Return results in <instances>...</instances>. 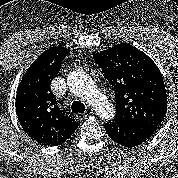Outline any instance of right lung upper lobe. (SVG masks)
<instances>
[{
	"label": "right lung upper lobe",
	"mask_w": 178,
	"mask_h": 178,
	"mask_svg": "<svg viewBox=\"0 0 178 178\" xmlns=\"http://www.w3.org/2000/svg\"><path fill=\"white\" fill-rule=\"evenodd\" d=\"M69 51L63 47L44 51L27 69L17 90L16 113L21 126L45 146L62 144L78 127V122L60 110L50 88Z\"/></svg>",
	"instance_id": "cb5924a9"
}]
</instances>
